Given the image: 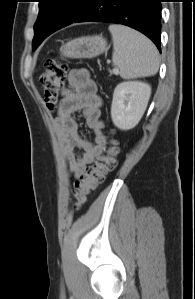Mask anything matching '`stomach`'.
Here are the masks:
<instances>
[{
    "mask_svg": "<svg viewBox=\"0 0 195 299\" xmlns=\"http://www.w3.org/2000/svg\"><path fill=\"white\" fill-rule=\"evenodd\" d=\"M106 50V39L102 35H93L67 42L60 48V53L67 58H94Z\"/></svg>",
    "mask_w": 195,
    "mask_h": 299,
    "instance_id": "obj_1",
    "label": "stomach"
}]
</instances>
